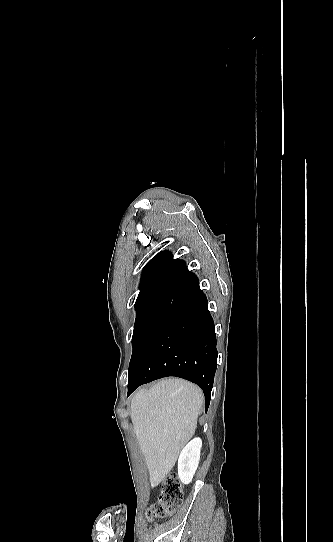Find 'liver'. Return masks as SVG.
Instances as JSON below:
<instances>
[{
	"instance_id": "6515ba94",
	"label": "liver",
	"mask_w": 333,
	"mask_h": 542,
	"mask_svg": "<svg viewBox=\"0 0 333 542\" xmlns=\"http://www.w3.org/2000/svg\"><path fill=\"white\" fill-rule=\"evenodd\" d=\"M202 404V390L178 378L160 380L133 396L130 416L151 488L171 472L182 448L194 436Z\"/></svg>"
}]
</instances>
